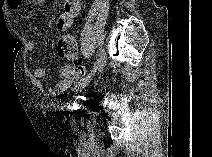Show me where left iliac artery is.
<instances>
[{
    "instance_id": "obj_1",
    "label": "left iliac artery",
    "mask_w": 212,
    "mask_h": 157,
    "mask_svg": "<svg viewBox=\"0 0 212 157\" xmlns=\"http://www.w3.org/2000/svg\"><path fill=\"white\" fill-rule=\"evenodd\" d=\"M106 60H107V55L105 50L101 47L99 48V54H98V60H97V66L101 67L103 65L106 64ZM88 78V74L84 75L83 77H81L77 83H80L81 81L85 80Z\"/></svg>"
}]
</instances>
